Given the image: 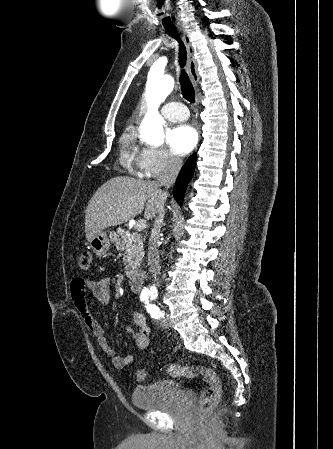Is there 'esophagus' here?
I'll return each instance as SVG.
<instances>
[{"instance_id": "1", "label": "esophagus", "mask_w": 333, "mask_h": 449, "mask_svg": "<svg viewBox=\"0 0 333 449\" xmlns=\"http://www.w3.org/2000/svg\"><path fill=\"white\" fill-rule=\"evenodd\" d=\"M179 34L181 35V38L186 46L187 53H188V58H187L188 73L190 75V78H191L193 84L195 86H197L198 82H199V74H198V69H197V62H196V60L194 58V54H193V48L191 45L190 37H189L188 33L183 29L179 30Z\"/></svg>"}]
</instances>
